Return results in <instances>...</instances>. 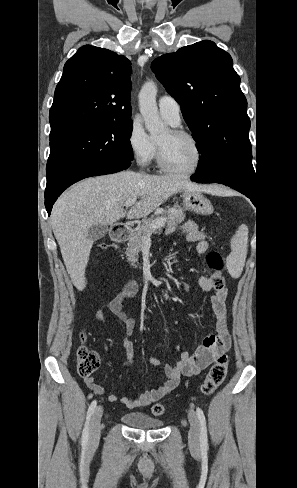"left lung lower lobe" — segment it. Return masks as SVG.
<instances>
[{
  "label": "left lung lower lobe",
  "instance_id": "1",
  "mask_svg": "<svg viewBox=\"0 0 297 488\" xmlns=\"http://www.w3.org/2000/svg\"><path fill=\"white\" fill-rule=\"evenodd\" d=\"M193 181L199 183H220L227 185L238 192L246 195L250 200L255 203L256 186L255 183L249 181L241 176L231 173H220L208 177H198L196 174L190 177Z\"/></svg>",
  "mask_w": 297,
  "mask_h": 488
}]
</instances>
